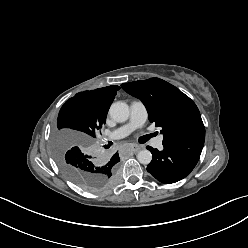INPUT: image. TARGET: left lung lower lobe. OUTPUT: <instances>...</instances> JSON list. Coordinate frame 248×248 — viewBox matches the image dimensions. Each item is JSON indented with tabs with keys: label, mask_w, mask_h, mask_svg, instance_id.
Wrapping results in <instances>:
<instances>
[{
	"label": "left lung lower lobe",
	"mask_w": 248,
	"mask_h": 248,
	"mask_svg": "<svg viewBox=\"0 0 248 248\" xmlns=\"http://www.w3.org/2000/svg\"><path fill=\"white\" fill-rule=\"evenodd\" d=\"M205 134H194L179 138L158 151L150 146L152 161L147 171L162 183H175L185 178L196 166L204 145Z\"/></svg>",
	"instance_id": "0a47b994"
}]
</instances>
